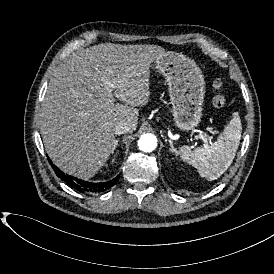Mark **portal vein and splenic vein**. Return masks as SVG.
Returning <instances> with one entry per match:
<instances>
[{
	"instance_id": "1",
	"label": "portal vein and splenic vein",
	"mask_w": 274,
	"mask_h": 274,
	"mask_svg": "<svg viewBox=\"0 0 274 274\" xmlns=\"http://www.w3.org/2000/svg\"><path fill=\"white\" fill-rule=\"evenodd\" d=\"M105 85H106V87H107L109 90H111L112 88H114V84L111 83V82H105ZM205 143H206V142H205Z\"/></svg>"
}]
</instances>
